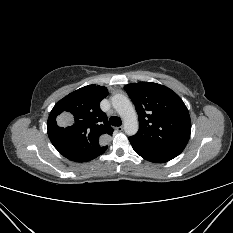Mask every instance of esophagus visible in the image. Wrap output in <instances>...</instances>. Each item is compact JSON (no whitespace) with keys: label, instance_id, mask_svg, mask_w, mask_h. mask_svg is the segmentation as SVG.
<instances>
[{"label":"esophagus","instance_id":"obj_1","mask_svg":"<svg viewBox=\"0 0 233 233\" xmlns=\"http://www.w3.org/2000/svg\"><path fill=\"white\" fill-rule=\"evenodd\" d=\"M116 130H117L118 132L123 131V126H118V127H116Z\"/></svg>","mask_w":233,"mask_h":233}]
</instances>
